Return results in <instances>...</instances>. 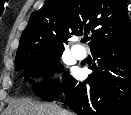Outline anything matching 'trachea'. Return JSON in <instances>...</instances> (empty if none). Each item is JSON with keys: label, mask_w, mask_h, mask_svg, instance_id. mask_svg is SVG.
Returning <instances> with one entry per match:
<instances>
[{"label": "trachea", "mask_w": 131, "mask_h": 115, "mask_svg": "<svg viewBox=\"0 0 131 115\" xmlns=\"http://www.w3.org/2000/svg\"><path fill=\"white\" fill-rule=\"evenodd\" d=\"M89 40H90L89 37H85V38L82 39V42H83V43H86V42L89 41Z\"/></svg>", "instance_id": "obj_1"}]
</instances>
